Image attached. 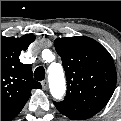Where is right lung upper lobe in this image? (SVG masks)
I'll list each match as a JSON object with an SVG mask.
<instances>
[{
    "label": "right lung upper lobe",
    "mask_w": 121,
    "mask_h": 121,
    "mask_svg": "<svg viewBox=\"0 0 121 121\" xmlns=\"http://www.w3.org/2000/svg\"><path fill=\"white\" fill-rule=\"evenodd\" d=\"M35 40L32 34L21 38L1 36V121H11L22 110L32 89L41 88L33 80L29 64L19 60V54Z\"/></svg>",
    "instance_id": "cb5924a9"
}]
</instances>
